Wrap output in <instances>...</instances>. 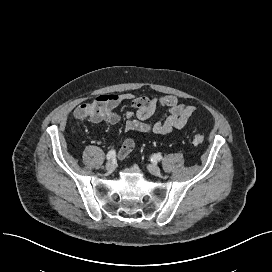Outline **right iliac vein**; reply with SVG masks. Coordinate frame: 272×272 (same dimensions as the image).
<instances>
[{
  "instance_id": "1",
  "label": "right iliac vein",
  "mask_w": 272,
  "mask_h": 272,
  "mask_svg": "<svg viewBox=\"0 0 272 272\" xmlns=\"http://www.w3.org/2000/svg\"><path fill=\"white\" fill-rule=\"evenodd\" d=\"M105 169L107 172L112 173L115 170V165L113 162L109 161L105 165Z\"/></svg>"
}]
</instances>
